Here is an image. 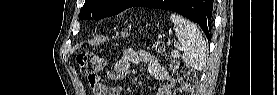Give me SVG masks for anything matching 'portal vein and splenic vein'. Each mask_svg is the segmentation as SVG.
Wrapping results in <instances>:
<instances>
[{
  "label": "portal vein and splenic vein",
  "instance_id": "obj_1",
  "mask_svg": "<svg viewBox=\"0 0 277 95\" xmlns=\"http://www.w3.org/2000/svg\"><path fill=\"white\" fill-rule=\"evenodd\" d=\"M176 48H177V49H181V47H180V46H176Z\"/></svg>",
  "mask_w": 277,
  "mask_h": 95
}]
</instances>
